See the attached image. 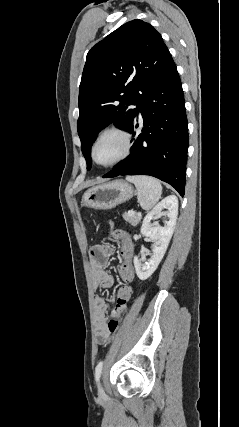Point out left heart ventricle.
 Instances as JSON below:
<instances>
[{
  "instance_id": "b2bd125f",
  "label": "left heart ventricle",
  "mask_w": 239,
  "mask_h": 427,
  "mask_svg": "<svg viewBox=\"0 0 239 427\" xmlns=\"http://www.w3.org/2000/svg\"><path fill=\"white\" fill-rule=\"evenodd\" d=\"M123 150V139L117 134H108L97 144L95 158L100 163H109L117 159L122 154Z\"/></svg>"
}]
</instances>
